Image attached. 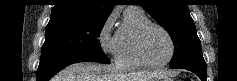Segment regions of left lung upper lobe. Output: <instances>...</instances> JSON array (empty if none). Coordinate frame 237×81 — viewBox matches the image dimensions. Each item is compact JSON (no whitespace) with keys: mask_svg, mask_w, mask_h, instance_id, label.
Instances as JSON below:
<instances>
[{"mask_svg":"<svg viewBox=\"0 0 237 81\" xmlns=\"http://www.w3.org/2000/svg\"><path fill=\"white\" fill-rule=\"evenodd\" d=\"M141 6L169 33L175 49L171 68H206L200 40L184 0H141Z\"/></svg>","mask_w":237,"mask_h":81,"instance_id":"1","label":"left lung upper lobe"}]
</instances>
